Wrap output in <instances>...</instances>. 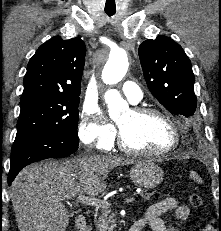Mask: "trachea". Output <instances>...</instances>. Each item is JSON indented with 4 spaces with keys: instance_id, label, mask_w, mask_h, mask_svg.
Segmentation results:
<instances>
[{
    "instance_id": "trachea-1",
    "label": "trachea",
    "mask_w": 221,
    "mask_h": 231,
    "mask_svg": "<svg viewBox=\"0 0 221 231\" xmlns=\"http://www.w3.org/2000/svg\"><path fill=\"white\" fill-rule=\"evenodd\" d=\"M105 12L108 16H113L115 14V11L105 10Z\"/></svg>"
}]
</instances>
